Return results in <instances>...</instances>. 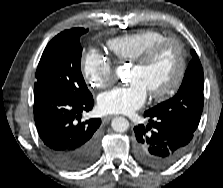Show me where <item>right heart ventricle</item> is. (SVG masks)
<instances>
[{"label":"right heart ventricle","instance_id":"right-heart-ventricle-1","mask_svg":"<svg viewBox=\"0 0 223 188\" xmlns=\"http://www.w3.org/2000/svg\"><path fill=\"white\" fill-rule=\"evenodd\" d=\"M167 38L155 29H143L111 38L107 41L109 51L121 61H132L144 53L150 46Z\"/></svg>","mask_w":223,"mask_h":188}]
</instances>
